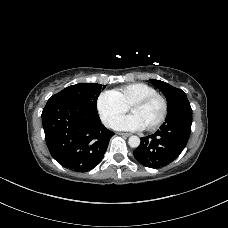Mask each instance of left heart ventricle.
<instances>
[{
	"mask_svg": "<svg viewBox=\"0 0 228 228\" xmlns=\"http://www.w3.org/2000/svg\"><path fill=\"white\" fill-rule=\"evenodd\" d=\"M162 112V103L160 100L155 99L150 103L136 107L131 110V114L135 115L144 128L154 124Z\"/></svg>",
	"mask_w": 228,
	"mask_h": 228,
	"instance_id": "1",
	"label": "left heart ventricle"
}]
</instances>
